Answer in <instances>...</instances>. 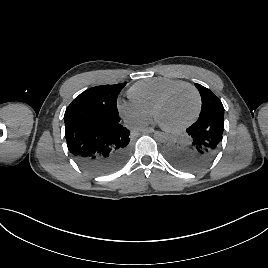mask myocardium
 I'll use <instances>...</instances> for the list:
<instances>
[{
	"label": "myocardium",
	"mask_w": 268,
	"mask_h": 268,
	"mask_svg": "<svg viewBox=\"0 0 268 268\" xmlns=\"http://www.w3.org/2000/svg\"><path fill=\"white\" fill-rule=\"evenodd\" d=\"M181 88H189L190 90L193 91V93L196 96V101H197L196 110H195V113L193 114V116L190 119H188L187 121H185L184 123H182V124H180L178 126L170 127V126H167V125L163 124L159 120L158 113H159L160 108L168 100V98L171 97L176 91H178ZM201 108H202V98H201V95H200V92L198 91V89L194 85H192L190 83L182 82V83H179V84L174 85L173 87L169 88L159 98V100L157 101V103H156V105L154 107L153 112H154V117H155L156 122L163 129L168 130V131H180V130H183V129L187 128L188 126H190L191 124H193L197 120V118L200 115Z\"/></svg>",
	"instance_id": "f54148a6"
}]
</instances>
